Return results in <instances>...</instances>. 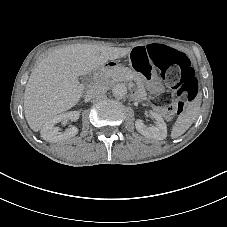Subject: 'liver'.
<instances>
[{
    "label": "liver",
    "instance_id": "6515ba94",
    "mask_svg": "<svg viewBox=\"0 0 227 227\" xmlns=\"http://www.w3.org/2000/svg\"><path fill=\"white\" fill-rule=\"evenodd\" d=\"M128 52L122 48L75 44L39 59L24 93V112L30 128L39 131L48 119L79 101L85 89L79 76L104 72L108 69L104 68L107 61L124 57ZM87 96L90 97L89 92Z\"/></svg>",
    "mask_w": 227,
    "mask_h": 227
}]
</instances>
